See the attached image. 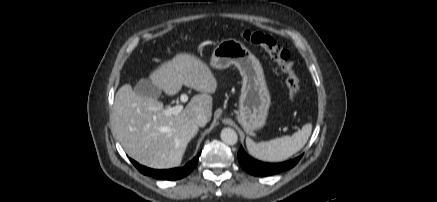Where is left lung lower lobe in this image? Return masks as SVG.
Returning <instances> with one entry per match:
<instances>
[{
	"label": "left lung lower lobe",
	"mask_w": 437,
	"mask_h": 202,
	"mask_svg": "<svg viewBox=\"0 0 437 202\" xmlns=\"http://www.w3.org/2000/svg\"><path fill=\"white\" fill-rule=\"evenodd\" d=\"M302 155L282 163H265L250 157L242 147L238 151V160L242 168L254 176H269L291 169L301 159Z\"/></svg>",
	"instance_id": "left-lung-lower-lobe-1"
}]
</instances>
